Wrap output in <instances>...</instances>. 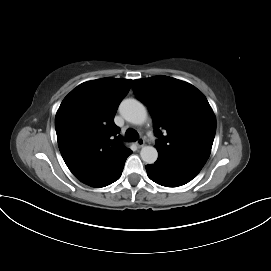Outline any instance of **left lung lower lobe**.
<instances>
[{"mask_svg":"<svg viewBox=\"0 0 271 271\" xmlns=\"http://www.w3.org/2000/svg\"><path fill=\"white\" fill-rule=\"evenodd\" d=\"M203 166L159 153L154 164L147 165L148 177L166 187H177L191 181Z\"/></svg>","mask_w":271,"mask_h":271,"instance_id":"left-lung-lower-lobe-1","label":"left lung lower lobe"}]
</instances>
